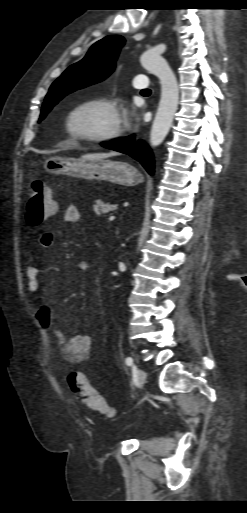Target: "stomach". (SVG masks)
Here are the masks:
<instances>
[{
  "instance_id": "obj_1",
  "label": "stomach",
  "mask_w": 247,
  "mask_h": 513,
  "mask_svg": "<svg viewBox=\"0 0 247 513\" xmlns=\"http://www.w3.org/2000/svg\"><path fill=\"white\" fill-rule=\"evenodd\" d=\"M43 166L47 172L53 174L108 181L124 186H134L143 179L141 173L129 163L104 158L86 160L51 157L44 162Z\"/></svg>"
}]
</instances>
